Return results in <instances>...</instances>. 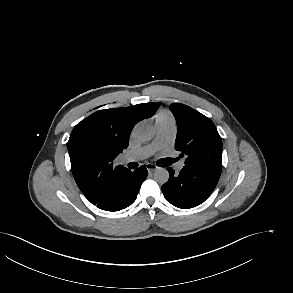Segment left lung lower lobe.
I'll return each mask as SVG.
<instances>
[{"label": "left lung lower lobe", "instance_id": "obj_1", "mask_svg": "<svg viewBox=\"0 0 293 293\" xmlns=\"http://www.w3.org/2000/svg\"><path fill=\"white\" fill-rule=\"evenodd\" d=\"M169 180L162 186L165 199L172 205L189 209L203 203L215 189L220 175L208 169L184 166L179 174L167 168Z\"/></svg>", "mask_w": 293, "mask_h": 293}]
</instances>
